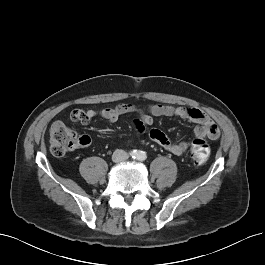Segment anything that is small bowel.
Masks as SVG:
<instances>
[{
	"label": "small bowel",
	"instance_id": "small-bowel-1",
	"mask_svg": "<svg viewBox=\"0 0 265 265\" xmlns=\"http://www.w3.org/2000/svg\"><path fill=\"white\" fill-rule=\"evenodd\" d=\"M125 114H137L138 118L134 119L133 126L137 133H144L145 126L153 122L154 117H180L197 124L195 134L198 137H208L216 139L219 136V128L214 121L203 111L191 107H178L172 105H163L159 103L149 104L146 110L141 109L135 104L120 103L113 107H106L101 111L95 109H76L70 114L71 120L83 125H88L91 119L97 115L102 116L108 123L113 124ZM150 139L163 147L166 151L174 155L184 154L189 144L187 142H174L164 132L158 129L149 131ZM91 140L88 136H82L83 146H88Z\"/></svg>",
	"mask_w": 265,
	"mask_h": 265
}]
</instances>
